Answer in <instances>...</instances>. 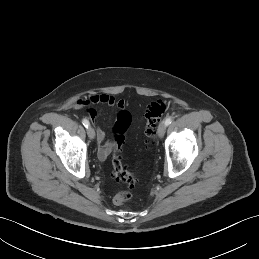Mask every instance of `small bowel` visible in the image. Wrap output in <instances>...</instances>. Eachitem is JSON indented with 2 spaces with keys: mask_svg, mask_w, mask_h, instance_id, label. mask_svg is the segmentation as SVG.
I'll list each match as a JSON object with an SVG mask.
<instances>
[{
  "mask_svg": "<svg viewBox=\"0 0 259 259\" xmlns=\"http://www.w3.org/2000/svg\"><path fill=\"white\" fill-rule=\"evenodd\" d=\"M103 104L109 107H117L120 111L125 108V101L122 99H116L114 96L108 94H95L91 95L85 101L76 102V106L78 107H87L91 105ZM88 115L91 120H95L97 117V113L93 109H89ZM97 140L99 142L98 148V158L100 160H105L109 153L111 152L114 144L110 140H106V133L100 127H96Z\"/></svg>",
  "mask_w": 259,
  "mask_h": 259,
  "instance_id": "1",
  "label": "small bowel"
}]
</instances>
